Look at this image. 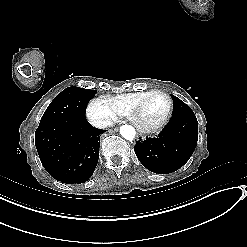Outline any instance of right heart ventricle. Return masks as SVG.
Returning a JSON list of instances; mask_svg holds the SVG:
<instances>
[{
	"mask_svg": "<svg viewBox=\"0 0 247 247\" xmlns=\"http://www.w3.org/2000/svg\"><path fill=\"white\" fill-rule=\"evenodd\" d=\"M150 91L127 93L120 96L105 95L101 98L111 105L118 117L129 118L130 112L128 109L134 108L135 104L144 99Z\"/></svg>",
	"mask_w": 247,
	"mask_h": 247,
	"instance_id": "right-heart-ventricle-1",
	"label": "right heart ventricle"
}]
</instances>
